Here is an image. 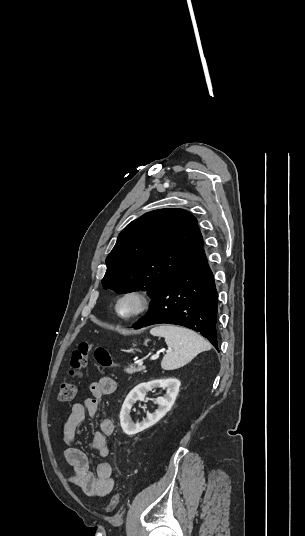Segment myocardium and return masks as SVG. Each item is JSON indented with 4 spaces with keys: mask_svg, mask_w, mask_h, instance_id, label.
I'll return each instance as SVG.
<instances>
[{
    "mask_svg": "<svg viewBox=\"0 0 305 536\" xmlns=\"http://www.w3.org/2000/svg\"><path fill=\"white\" fill-rule=\"evenodd\" d=\"M127 296H136L140 300V307L139 309L134 312L133 314L129 316H123L118 309L119 301ZM152 307V297L150 293L140 287H131L128 289L123 290L115 299L113 304V312L116 316V318L120 321L124 322H132L141 319L144 317L151 309Z\"/></svg>",
    "mask_w": 305,
    "mask_h": 536,
    "instance_id": "f54148a6",
    "label": "myocardium"
}]
</instances>
